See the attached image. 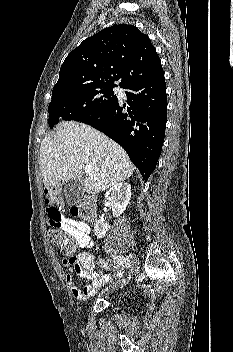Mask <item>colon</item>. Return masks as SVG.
I'll return each instance as SVG.
<instances>
[{
    "label": "colon",
    "mask_w": 233,
    "mask_h": 352,
    "mask_svg": "<svg viewBox=\"0 0 233 352\" xmlns=\"http://www.w3.org/2000/svg\"><path fill=\"white\" fill-rule=\"evenodd\" d=\"M72 214L84 220H91L96 214V205L94 199L86 196L82 201L74 206ZM51 242L58 247L64 254L72 255L76 250V244L59 228L51 226L48 231Z\"/></svg>",
    "instance_id": "1"
}]
</instances>
